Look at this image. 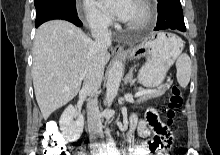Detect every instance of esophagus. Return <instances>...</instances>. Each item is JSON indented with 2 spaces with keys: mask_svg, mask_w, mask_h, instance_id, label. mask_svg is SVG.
<instances>
[{
  "mask_svg": "<svg viewBox=\"0 0 220 155\" xmlns=\"http://www.w3.org/2000/svg\"><path fill=\"white\" fill-rule=\"evenodd\" d=\"M113 51L116 52V53H123V52H124V49H123L122 46L116 45V46L113 48Z\"/></svg>",
  "mask_w": 220,
  "mask_h": 155,
  "instance_id": "obj_1",
  "label": "esophagus"
}]
</instances>
